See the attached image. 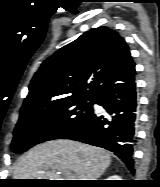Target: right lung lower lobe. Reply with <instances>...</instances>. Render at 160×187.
I'll use <instances>...</instances> for the list:
<instances>
[{
    "instance_id": "1",
    "label": "right lung lower lobe",
    "mask_w": 160,
    "mask_h": 187,
    "mask_svg": "<svg viewBox=\"0 0 160 187\" xmlns=\"http://www.w3.org/2000/svg\"><path fill=\"white\" fill-rule=\"evenodd\" d=\"M94 104L105 109L93 113L64 139L105 148L117 155L134 173L133 147L136 125L135 63L94 97Z\"/></svg>"
}]
</instances>
